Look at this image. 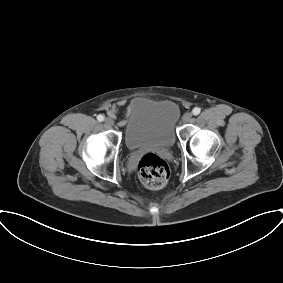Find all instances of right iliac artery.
<instances>
[{
    "label": "right iliac artery",
    "instance_id": "right-iliac-artery-1",
    "mask_svg": "<svg viewBox=\"0 0 283 283\" xmlns=\"http://www.w3.org/2000/svg\"><path fill=\"white\" fill-rule=\"evenodd\" d=\"M97 120H98L99 122H102V121L104 120V116H103V115H98V116H97Z\"/></svg>",
    "mask_w": 283,
    "mask_h": 283
}]
</instances>
